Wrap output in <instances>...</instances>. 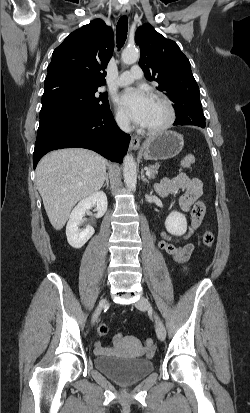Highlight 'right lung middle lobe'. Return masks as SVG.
Wrapping results in <instances>:
<instances>
[{
    "label": "right lung middle lobe",
    "mask_w": 250,
    "mask_h": 413,
    "mask_svg": "<svg viewBox=\"0 0 250 413\" xmlns=\"http://www.w3.org/2000/svg\"><path fill=\"white\" fill-rule=\"evenodd\" d=\"M55 109L100 112L109 110L108 96L96 87L66 85L43 94L40 118Z\"/></svg>",
    "instance_id": "dd1d6c3e"
}]
</instances>
